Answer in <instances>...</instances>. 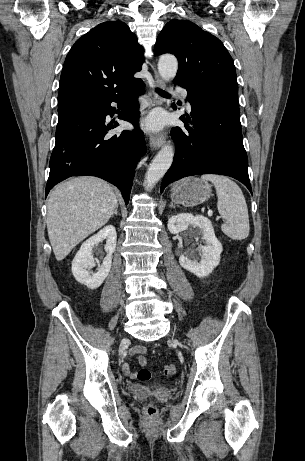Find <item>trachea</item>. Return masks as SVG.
<instances>
[{
    "mask_svg": "<svg viewBox=\"0 0 305 461\" xmlns=\"http://www.w3.org/2000/svg\"><path fill=\"white\" fill-rule=\"evenodd\" d=\"M161 96H164V97H169V94L161 89H157L156 90Z\"/></svg>",
    "mask_w": 305,
    "mask_h": 461,
    "instance_id": "1",
    "label": "trachea"
}]
</instances>
